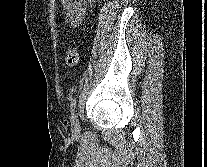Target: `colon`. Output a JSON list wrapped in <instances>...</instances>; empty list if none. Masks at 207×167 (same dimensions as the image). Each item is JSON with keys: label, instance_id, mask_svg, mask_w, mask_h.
<instances>
[{"label": "colon", "instance_id": "5ec220e1", "mask_svg": "<svg viewBox=\"0 0 207 167\" xmlns=\"http://www.w3.org/2000/svg\"><path fill=\"white\" fill-rule=\"evenodd\" d=\"M79 61V51L76 47H72L66 51L64 65L66 68L75 67Z\"/></svg>", "mask_w": 207, "mask_h": 167}]
</instances>
